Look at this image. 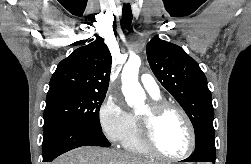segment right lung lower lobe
Wrapping results in <instances>:
<instances>
[{
    "label": "right lung lower lobe",
    "instance_id": "98d812e1",
    "mask_svg": "<svg viewBox=\"0 0 251 164\" xmlns=\"http://www.w3.org/2000/svg\"><path fill=\"white\" fill-rule=\"evenodd\" d=\"M43 129V162H52L59 155L81 146H110L102 129L60 122Z\"/></svg>",
    "mask_w": 251,
    "mask_h": 164
}]
</instances>
